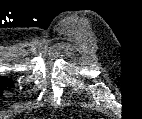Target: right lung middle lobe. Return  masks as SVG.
<instances>
[{"label":"right lung middle lobe","mask_w":142,"mask_h":119,"mask_svg":"<svg viewBox=\"0 0 142 119\" xmlns=\"http://www.w3.org/2000/svg\"><path fill=\"white\" fill-rule=\"evenodd\" d=\"M11 83H12V81L10 79L6 78V77L0 78V87L1 88H4L8 85H11ZM0 94H1V92H0Z\"/></svg>","instance_id":"1"}]
</instances>
